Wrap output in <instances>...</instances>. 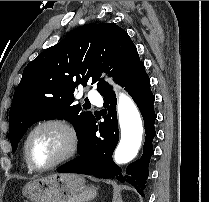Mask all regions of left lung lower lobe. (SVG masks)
<instances>
[{"label":"left lung lower lobe","instance_id":"1","mask_svg":"<svg viewBox=\"0 0 209 202\" xmlns=\"http://www.w3.org/2000/svg\"><path fill=\"white\" fill-rule=\"evenodd\" d=\"M128 91L137 104L145 127V143L143 155L137 161L128 165L127 175H122L121 169L113 162L112 154L119 140L116 96L110 88L102 96L106 115L104 122L96 125L94 117L82 139L78 141L80 156L57 169L60 173H82L98 178H116L120 182L133 185L143 196L146 179L149 175L148 165L153 154L152 140L156 135L154 122L156 114L153 109L154 95L150 89V79L141 63L118 82ZM99 132L100 136H96Z\"/></svg>","mask_w":209,"mask_h":202}]
</instances>
